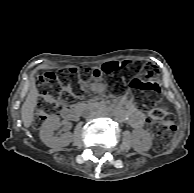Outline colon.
<instances>
[{"instance_id":"1","label":"colon","mask_w":194,"mask_h":193,"mask_svg":"<svg viewBox=\"0 0 194 193\" xmlns=\"http://www.w3.org/2000/svg\"><path fill=\"white\" fill-rule=\"evenodd\" d=\"M92 74L94 77L107 75L116 79L113 83L115 91H121L118 82L120 75L128 79L130 89L136 95L141 107L149 110V115L154 123L156 142L158 149L168 146L176 133V126L167 109L157 107L161 100L160 87L149 78L155 75L151 66H143L140 63L129 61L106 62L101 67L93 69L78 70L75 68H64L59 72H46L39 80L40 101L38 112L34 118V125L41 126L47 115L55 112L62 103L67 102L71 94L76 93V88L71 85L79 72Z\"/></svg>"}]
</instances>
